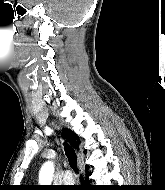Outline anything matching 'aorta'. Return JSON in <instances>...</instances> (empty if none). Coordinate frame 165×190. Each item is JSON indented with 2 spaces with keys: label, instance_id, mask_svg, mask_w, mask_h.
Instances as JSON below:
<instances>
[{
  "label": "aorta",
  "instance_id": "aorta-1",
  "mask_svg": "<svg viewBox=\"0 0 165 190\" xmlns=\"http://www.w3.org/2000/svg\"><path fill=\"white\" fill-rule=\"evenodd\" d=\"M54 173V165L52 162H47L41 169V182L45 184H49L52 181V176Z\"/></svg>",
  "mask_w": 165,
  "mask_h": 190
}]
</instances>
